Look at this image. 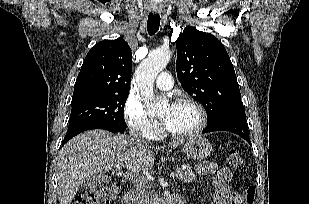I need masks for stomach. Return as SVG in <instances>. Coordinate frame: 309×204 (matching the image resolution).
Wrapping results in <instances>:
<instances>
[{
	"label": "stomach",
	"instance_id": "stomach-1",
	"mask_svg": "<svg viewBox=\"0 0 309 204\" xmlns=\"http://www.w3.org/2000/svg\"><path fill=\"white\" fill-rule=\"evenodd\" d=\"M212 144L203 137H192L182 146L181 151L187 157L202 160L212 153Z\"/></svg>",
	"mask_w": 309,
	"mask_h": 204
}]
</instances>
